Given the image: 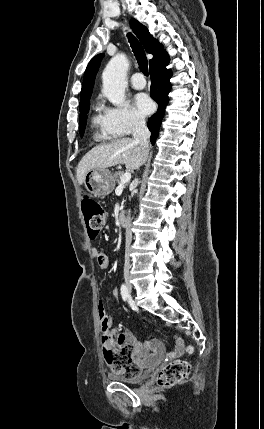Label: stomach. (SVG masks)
<instances>
[{
	"instance_id": "1",
	"label": "stomach",
	"mask_w": 264,
	"mask_h": 429,
	"mask_svg": "<svg viewBox=\"0 0 264 429\" xmlns=\"http://www.w3.org/2000/svg\"><path fill=\"white\" fill-rule=\"evenodd\" d=\"M84 184L95 197H104L113 191L115 180L108 169H93L87 172Z\"/></svg>"
}]
</instances>
